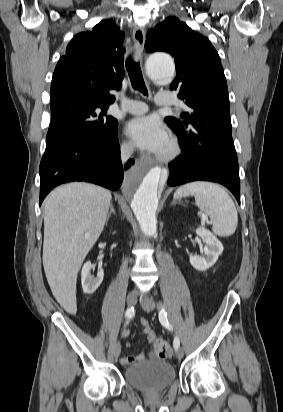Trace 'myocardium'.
Segmentation results:
<instances>
[{
    "label": "myocardium",
    "instance_id": "obj_1",
    "mask_svg": "<svg viewBox=\"0 0 283 412\" xmlns=\"http://www.w3.org/2000/svg\"><path fill=\"white\" fill-rule=\"evenodd\" d=\"M168 145L167 151L156 155L157 160L161 162H170L179 156L181 153V146L175 137H169Z\"/></svg>",
    "mask_w": 283,
    "mask_h": 412
}]
</instances>
